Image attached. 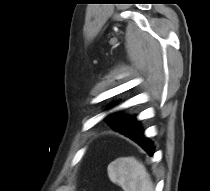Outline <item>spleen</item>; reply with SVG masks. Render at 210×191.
<instances>
[{"label":"spleen","instance_id":"3e777b00","mask_svg":"<svg viewBox=\"0 0 210 191\" xmlns=\"http://www.w3.org/2000/svg\"><path fill=\"white\" fill-rule=\"evenodd\" d=\"M111 182L124 191H154L150 175L144 165L134 157H121L108 165Z\"/></svg>","mask_w":210,"mask_h":191}]
</instances>
